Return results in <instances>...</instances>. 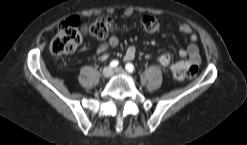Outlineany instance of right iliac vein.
<instances>
[{
  "mask_svg": "<svg viewBox=\"0 0 247 145\" xmlns=\"http://www.w3.org/2000/svg\"><path fill=\"white\" fill-rule=\"evenodd\" d=\"M112 74H113L112 68H110V67L104 68V70H103V76H104L105 78L110 77Z\"/></svg>",
  "mask_w": 247,
  "mask_h": 145,
  "instance_id": "1",
  "label": "right iliac vein"
}]
</instances>
